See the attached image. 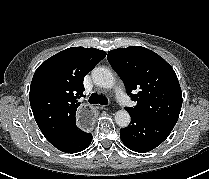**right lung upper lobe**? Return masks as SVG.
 <instances>
[{"instance_id": "cb5924a9", "label": "right lung upper lobe", "mask_w": 209, "mask_h": 179, "mask_svg": "<svg viewBox=\"0 0 209 179\" xmlns=\"http://www.w3.org/2000/svg\"><path fill=\"white\" fill-rule=\"evenodd\" d=\"M105 56L95 48L71 47L35 71L29 99L34 118L49 142L75 126L78 99L84 96V76Z\"/></svg>"}]
</instances>
